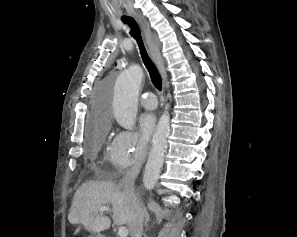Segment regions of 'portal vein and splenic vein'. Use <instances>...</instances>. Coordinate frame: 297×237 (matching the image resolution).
<instances>
[{"mask_svg":"<svg viewBox=\"0 0 297 237\" xmlns=\"http://www.w3.org/2000/svg\"><path fill=\"white\" fill-rule=\"evenodd\" d=\"M99 212H111V209L108 206H102L98 209ZM118 235L119 237H127L128 236V230L126 227L121 226L118 229Z\"/></svg>","mask_w":297,"mask_h":237,"instance_id":"1","label":"portal vein and splenic vein"}]
</instances>
